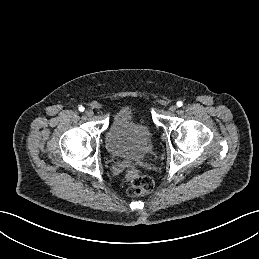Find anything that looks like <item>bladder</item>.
<instances>
[{
    "mask_svg": "<svg viewBox=\"0 0 259 259\" xmlns=\"http://www.w3.org/2000/svg\"><path fill=\"white\" fill-rule=\"evenodd\" d=\"M151 131L147 124L138 122L130 109H120L106 133L108 152L120 158H143L149 150Z\"/></svg>",
    "mask_w": 259,
    "mask_h": 259,
    "instance_id": "obj_1",
    "label": "bladder"
}]
</instances>
